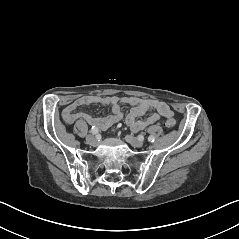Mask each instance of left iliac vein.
Segmentation results:
<instances>
[{
  "instance_id": "1",
  "label": "left iliac vein",
  "mask_w": 239,
  "mask_h": 239,
  "mask_svg": "<svg viewBox=\"0 0 239 239\" xmlns=\"http://www.w3.org/2000/svg\"><path fill=\"white\" fill-rule=\"evenodd\" d=\"M125 139L133 147L139 148V147H142L144 144L142 140H139L131 135H126Z\"/></svg>"
}]
</instances>
